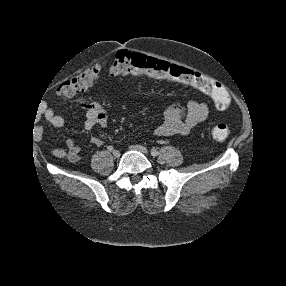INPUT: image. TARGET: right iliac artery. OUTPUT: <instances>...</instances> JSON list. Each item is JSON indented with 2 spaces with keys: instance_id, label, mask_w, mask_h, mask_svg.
I'll use <instances>...</instances> for the list:
<instances>
[{
  "instance_id": "obj_1",
  "label": "right iliac artery",
  "mask_w": 286,
  "mask_h": 286,
  "mask_svg": "<svg viewBox=\"0 0 286 286\" xmlns=\"http://www.w3.org/2000/svg\"><path fill=\"white\" fill-rule=\"evenodd\" d=\"M107 149H108V151H113L114 147H113L112 145H109V146L107 147Z\"/></svg>"
}]
</instances>
